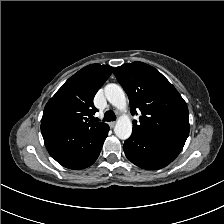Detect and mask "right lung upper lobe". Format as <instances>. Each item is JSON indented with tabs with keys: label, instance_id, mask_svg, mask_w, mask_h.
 I'll return each mask as SVG.
<instances>
[{
	"label": "right lung upper lobe",
	"instance_id": "cb5924a9",
	"mask_svg": "<svg viewBox=\"0 0 224 224\" xmlns=\"http://www.w3.org/2000/svg\"><path fill=\"white\" fill-rule=\"evenodd\" d=\"M113 71L109 65L91 64L70 77L45 106L41 122H56L70 128L91 130L105 126L87 117L98 111L93 98Z\"/></svg>",
	"mask_w": 224,
	"mask_h": 224
}]
</instances>
